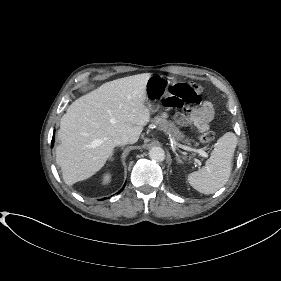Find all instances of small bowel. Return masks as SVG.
Masks as SVG:
<instances>
[{"mask_svg": "<svg viewBox=\"0 0 281 281\" xmlns=\"http://www.w3.org/2000/svg\"><path fill=\"white\" fill-rule=\"evenodd\" d=\"M213 116L214 110L209 102H204L200 107L195 108L192 111L194 123L200 132L208 129Z\"/></svg>", "mask_w": 281, "mask_h": 281, "instance_id": "1", "label": "small bowel"}]
</instances>
